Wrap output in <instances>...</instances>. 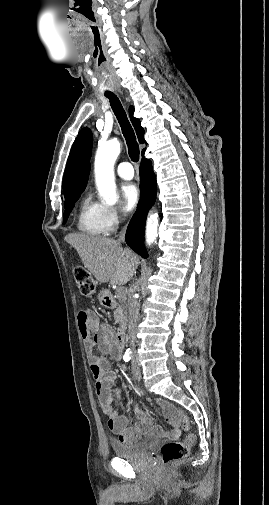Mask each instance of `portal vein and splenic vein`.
<instances>
[{"instance_id":"portal-vein-and-splenic-vein-1","label":"portal vein and splenic vein","mask_w":269,"mask_h":505,"mask_svg":"<svg viewBox=\"0 0 269 505\" xmlns=\"http://www.w3.org/2000/svg\"><path fill=\"white\" fill-rule=\"evenodd\" d=\"M123 292V288H118L117 293L121 294Z\"/></svg>"}]
</instances>
